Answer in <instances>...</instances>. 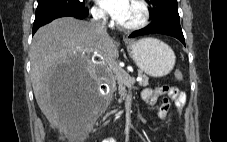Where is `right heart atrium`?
<instances>
[{"label":"right heart atrium","mask_w":227,"mask_h":142,"mask_svg":"<svg viewBox=\"0 0 227 142\" xmlns=\"http://www.w3.org/2000/svg\"><path fill=\"white\" fill-rule=\"evenodd\" d=\"M91 15L92 18L97 22L103 23L106 21L105 13L98 7H93L91 9Z\"/></svg>","instance_id":"1"}]
</instances>
